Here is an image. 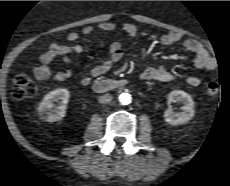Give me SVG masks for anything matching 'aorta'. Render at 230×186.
Instances as JSON below:
<instances>
[{"label": "aorta", "instance_id": "762f6f07", "mask_svg": "<svg viewBox=\"0 0 230 186\" xmlns=\"http://www.w3.org/2000/svg\"><path fill=\"white\" fill-rule=\"evenodd\" d=\"M119 101L123 105H128V104L131 103L132 97H131V95L129 93H121L119 95Z\"/></svg>", "mask_w": 230, "mask_h": 186}]
</instances>
